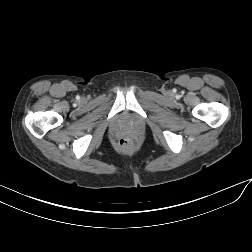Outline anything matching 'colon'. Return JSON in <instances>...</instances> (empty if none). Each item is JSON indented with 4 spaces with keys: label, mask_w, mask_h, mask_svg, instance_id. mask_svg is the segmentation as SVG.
<instances>
[{
    "label": "colon",
    "mask_w": 252,
    "mask_h": 252,
    "mask_svg": "<svg viewBox=\"0 0 252 252\" xmlns=\"http://www.w3.org/2000/svg\"><path fill=\"white\" fill-rule=\"evenodd\" d=\"M118 148L121 151L125 152L130 151L133 149V142L128 138H121L118 141Z\"/></svg>",
    "instance_id": "1"
}]
</instances>
